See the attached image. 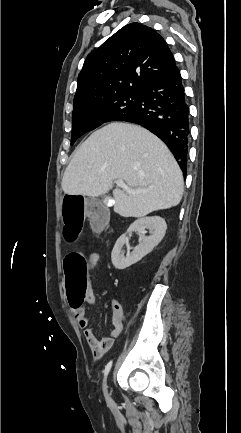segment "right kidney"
<instances>
[{"mask_svg": "<svg viewBox=\"0 0 241 433\" xmlns=\"http://www.w3.org/2000/svg\"><path fill=\"white\" fill-rule=\"evenodd\" d=\"M146 229L150 235L145 236ZM167 229L165 220L159 216L143 217L137 219L131 224L127 232L120 236L116 241L111 253L112 264L116 269L123 270L140 261L144 256L150 253L163 239ZM139 232L142 241L134 250L128 252L126 256L122 251L123 245L127 242V234Z\"/></svg>", "mask_w": 241, "mask_h": 433, "instance_id": "right-kidney-1", "label": "right kidney"}]
</instances>
